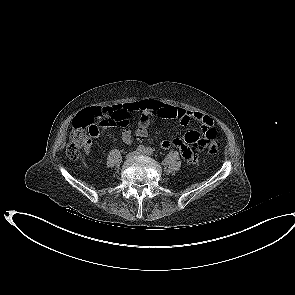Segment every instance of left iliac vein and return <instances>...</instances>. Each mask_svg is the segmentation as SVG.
Wrapping results in <instances>:
<instances>
[{"mask_svg":"<svg viewBox=\"0 0 295 295\" xmlns=\"http://www.w3.org/2000/svg\"><path fill=\"white\" fill-rule=\"evenodd\" d=\"M138 155H147V153L143 151V152H139Z\"/></svg>","mask_w":295,"mask_h":295,"instance_id":"4c4485c4","label":"left iliac vein"}]
</instances>
